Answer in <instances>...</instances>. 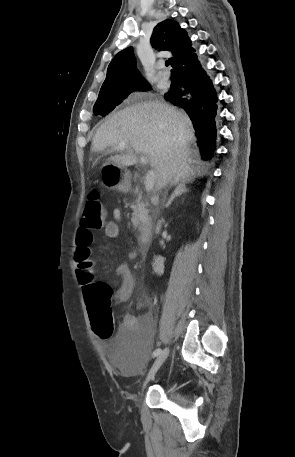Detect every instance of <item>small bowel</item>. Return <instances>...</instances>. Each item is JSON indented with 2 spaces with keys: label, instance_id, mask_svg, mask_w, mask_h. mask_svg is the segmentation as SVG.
<instances>
[{
  "label": "small bowel",
  "instance_id": "obj_1",
  "mask_svg": "<svg viewBox=\"0 0 295 457\" xmlns=\"http://www.w3.org/2000/svg\"><path fill=\"white\" fill-rule=\"evenodd\" d=\"M112 214L114 220L108 221L105 224L104 232L108 238L117 239L121 235V211L118 208H115L113 209ZM93 239L94 236L90 229H86L84 227H80L78 229L76 236V257L79 254H87L89 256L90 246ZM135 254L136 247L129 252V256L134 257ZM116 274L121 281V284L116 292V299L118 303L122 304L127 302L131 297L135 286V279L127 264H120L116 269ZM138 306L145 309L144 314L140 317L125 314L120 325L119 338H125L130 334L138 332L151 333L153 331L155 326L154 313L149 309L147 303L143 300L138 303Z\"/></svg>",
  "mask_w": 295,
  "mask_h": 457
}]
</instances>
